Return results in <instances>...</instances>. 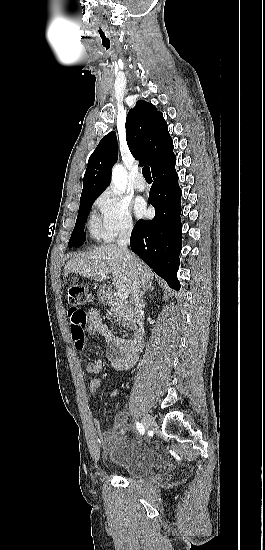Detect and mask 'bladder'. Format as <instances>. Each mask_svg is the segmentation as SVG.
<instances>
[{
	"label": "bladder",
	"instance_id": "1",
	"mask_svg": "<svg viewBox=\"0 0 265 550\" xmlns=\"http://www.w3.org/2000/svg\"><path fill=\"white\" fill-rule=\"evenodd\" d=\"M102 455L127 476H144L156 467L153 452L132 443H121L115 450H104Z\"/></svg>",
	"mask_w": 265,
	"mask_h": 550
}]
</instances>
